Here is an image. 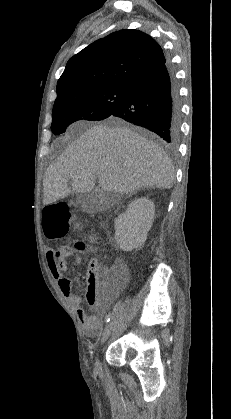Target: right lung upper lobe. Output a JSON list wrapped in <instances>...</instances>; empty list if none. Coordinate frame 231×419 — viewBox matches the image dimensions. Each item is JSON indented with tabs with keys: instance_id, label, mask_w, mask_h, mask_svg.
Wrapping results in <instances>:
<instances>
[{
	"instance_id": "obj_1",
	"label": "right lung upper lobe",
	"mask_w": 231,
	"mask_h": 419,
	"mask_svg": "<svg viewBox=\"0 0 231 419\" xmlns=\"http://www.w3.org/2000/svg\"><path fill=\"white\" fill-rule=\"evenodd\" d=\"M164 62L161 47L146 33L130 29L114 32L69 59L57 83L55 102L87 90L130 88Z\"/></svg>"
}]
</instances>
